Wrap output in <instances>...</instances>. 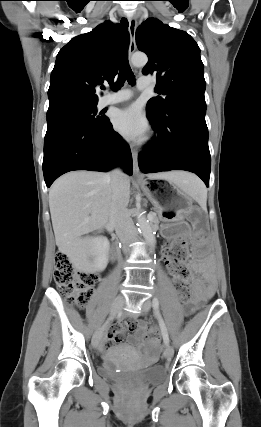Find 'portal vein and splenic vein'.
I'll return each instance as SVG.
<instances>
[{
  "mask_svg": "<svg viewBox=\"0 0 261 427\" xmlns=\"http://www.w3.org/2000/svg\"><path fill=\"white\" fill-rule=\"evenodd\" d=\"M151 216H152V214H151V213H149L148 217H149V218H151Z\"/></svg>",
  "mask_w": 261,
  "mask_h": 427,
  "instance_id": "1",
  "label": "portal vein and splenic vein"
}]
</instances>
